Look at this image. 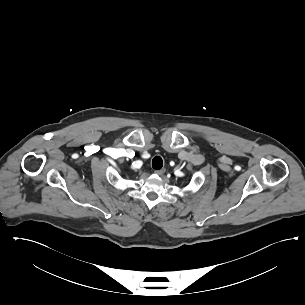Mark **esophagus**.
Instances as JSON below:
<instances>
[{"label":"esophagus","mask_w":305,"mask_h":305,"mask_svg":"<svg viewBox=\"0 0 305 305\" xmlns=\"http://www.w3.org/2000/svg\"><path fill=\"white\" fill-rule=\"evenodd\" d=\"M166 172V169L163 168V169H160V170H155L154 173L156 175H163L164 173Z\"/></svg>","instance_id":"obj_1"}]
</instances>
